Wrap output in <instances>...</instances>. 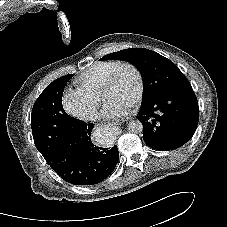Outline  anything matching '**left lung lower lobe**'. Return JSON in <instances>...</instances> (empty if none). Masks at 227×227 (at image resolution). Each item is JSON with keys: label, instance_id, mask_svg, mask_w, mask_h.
Here are the masks:
<instances>
[{"label": "left lung lower lobe", "instance_id": "0a47b994", "mask_svg": "<svg viewBox=\"0 0 227 227\" xmlns=\"http://www.w3.org/2000/svg\"><path fill=\"white\" fill-rule=\"evenodd\" d=\"M137 118L143 140L156 150H172L189 141L198 124L199 108L192 89L176 90L144 102Z\"/></svg>", "mask_w": 227, "mask_h": 227}]
</instances>
